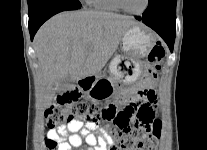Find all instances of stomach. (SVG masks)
I'll list each match as a JSON object with an SVG mask.
<instances>
[{
	"label": "stomach",
	"instance_id": "stomach-1",
	"mask_svg": "<svg viewBox=\"0 0 207 150\" xmlns=\"http://www.w3.org/2000/svg\"><path fill=\"white\" fill-rule=\"evenodd\" d=\"M154 41V34L141 24L126 30L122 37V53H117L109 65L111 77L95 79L87 90V95L92 99L113 98L117 96L120 85L141 80L146 72L142 59L149 54Z\"/></svg>",
	"mask_w": 207,
	"mask_h": 150
}]
</instances>
